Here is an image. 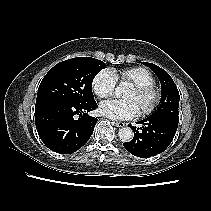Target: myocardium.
Listing matches in <instances>:
<instances>
[{
	"label": "myocardium",
	"mask_w": 211,
	"mask_h": 211,
	"mask_svg": "<svg viewBox=\"0 0 211 211\" xmlns=\"http://www.w3.org/2000/svg\"><path fill=\"white\" fill-rule=\"evenodd\" d=\"M133 88L141 97L148 99L147 104L140 109V113L142 115L152 114L161 102V90L154 84H134Z\"/></svg>",
	"instance_id": "obj_1"
}]
</instances>
